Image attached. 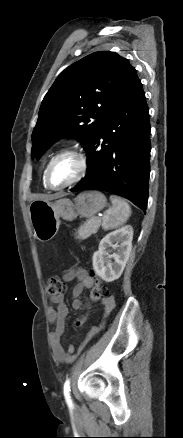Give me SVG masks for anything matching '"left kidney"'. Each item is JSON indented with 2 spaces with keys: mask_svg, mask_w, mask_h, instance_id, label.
<instances>
[{
  "mask_svg": "<svg viewBox=\"0 0 183 438\" xmlns=\"http://www.w3.org/2000/svg\"><path fill=\"white\" fill-rule=\"evenodd\" d=\"M132 239L133 228L127 225L108 233L101 240L98 251L93 255V268L104 281L112 282L121 276L132 249ZM109 247L117 249V252L109 255Z\"/></svg>",
  "mask_w": 183,
  "mask_h": 438,
  "instance_id": "obj_1",
  "label": "left kidney"
}]
</instances>
